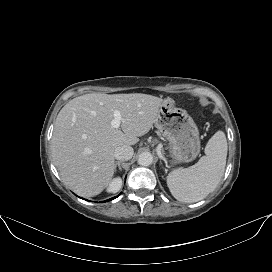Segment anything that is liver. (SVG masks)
I'll list each match as a JSON object with an SVG mask.
<instances>
[{
    "label": "liver",
    "mask_w": 272,
    "mask_h": 272,
    "mask_svg": "<svg viewBox=\"0 0 272 272\" xmlns=\"http://www.w3.org/2000/svg\"><path fill=\"white\" fill-rule=\"evenodd\" d=\"M163 101L141 93H92L70 100L56 118L51 140L64 184L81 197L101 193L115 171V149L138 143L155 123ZM114 111L121 113L122 131L111 125Z\"/></svg>",
    "instance_id": "1"
}]
</instances>
